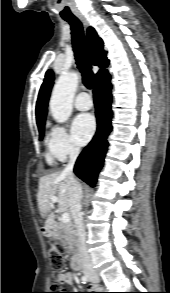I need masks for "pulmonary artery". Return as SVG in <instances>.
Segmentation results:
<instances>
[{
    "instance_id": "pulmonary-artery-1",
    "label": "pulmonary artery",
    "mask_w": 170,
    "mask_h": 293,
    "mask_svg": "<svg viewBox=\"0 0 170 293\" xmlns=\"http://www.w3.org/2000/svg\"><path fill=\"white\" fill-rule=\"evenodd\" d=\"M74 106L78 110L86 111L91 109L93 101L86 92H80L74 101Z\"/></svg>"
}]
</instances>
